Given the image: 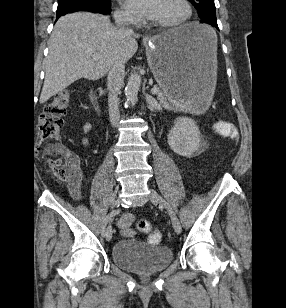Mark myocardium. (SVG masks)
<instances>
[{"mask_svg":"<svg viewBox=\"0 0 286 308\" xmlns=\"http://www.w3.org/2000/svg\"><path fill=\"white\" fill-rule=\"evenodd\" d=\"M180 3L183 5L185 9V14L182 18L176 21H171V22L154 21V25L159 28H163V29H172V28L180 27L184 25L185 23H187L191 19L192 14H193L192 6L189 0H180Z\"/></svg>","mask_w":286,"mask_h":308,"instance_id":"myocardium-1","label":"myocardium"}]
</instances>
